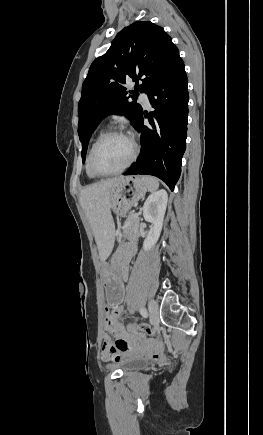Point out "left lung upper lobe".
I'll return each mask as SVG.
<instances>
[{
  "instance_id": "1",
  "label": "left lung upper lobe",
  "mask_w": 263,
  "mask_h": 435,
  "mask_svg": "<svg viewBox=\"0 0 263 435\" xmlns=\"http://www.w3.org/2000/svg\"><path fill=\"white\" fill-rule=\"evenodd\" d=\"M180 59L171 37L150 21H137L122 29L109 50L93 61L83 82L78 104V135L85 160L88 142L97 124L109 114L126 115L136 127L142 107L129 101L124 86L127 79L136 82L131 94L149 93ZM142 83L138 86V81Z\"/></svg>"
}]
</instances>
